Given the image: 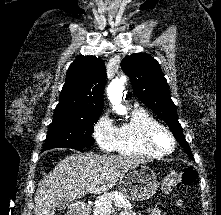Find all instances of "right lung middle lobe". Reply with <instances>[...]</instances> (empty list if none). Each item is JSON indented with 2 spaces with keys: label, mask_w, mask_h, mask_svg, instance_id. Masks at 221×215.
<instances>
[{
  "label": "right lung middle lobe",
  "mask_w": 221,
  "mask_h": 215,
  "mask_svg": "<svg viewBox=\"0 0 221 215\" xmlns=\"http://www.w3.org/2000/svg\"><path fill=\"white\" fill-rule=\"evenodd\" d=\"M101 113L58 112L48 127L44 150L69 147L78 150L93 145L91 134Z\"/></svg>",
  "instance_id": "right-lung-middle-lobe-1"
}]
</instances>
